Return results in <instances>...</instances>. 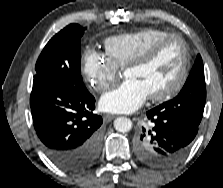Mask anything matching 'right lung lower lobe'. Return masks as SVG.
Listing matches in <instances>:
<instances>
[{"instance_id":"obj_1","label":"right lung lower lobe","mask_w":223,"mask_h":188,"mask_svg":"<svg viewBox=\"0 0 223 188\" xmlns=\"http://www.w3.org/2000/svg\"><path fill=\"white\" fill-rule=\"evenodd\" d=\"M30 106L40 145L56 166L76 172L96 161L102 117L92 112L95 98L89 92L33 81Z\"/></svg>"}]
</instances>
